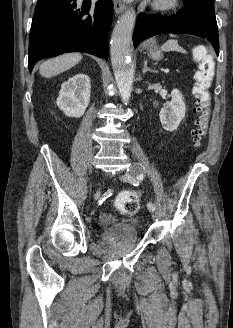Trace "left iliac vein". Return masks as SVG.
<instances>
[{
  "instance_id": "obj_1",
  "label": "left iliac vein",
  "mask_w": 233,
  "mask_h": 328,
  "mask_svg": "<svg viewBox=\"0 0 233 328\" xmlns=\"http://www.w3.org/2000/svg\"><path fill=\"white\" fill-rule=\"evenodd\" d=\"M139 173V168L137 165L133 164L128 172L124 175H121L120 176V179L123 181V182H128V183H133V180L135 179V176ZM151 213H152V217L155 218L156 215L154 213L153 210H150Z\"/></svg>"
}]
</instances>
